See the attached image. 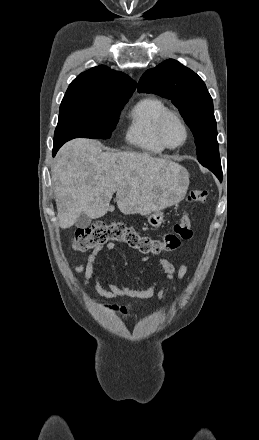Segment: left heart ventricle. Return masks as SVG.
<instances>
[{"label":"left heart ventricle","instance_id":"left-heart-ventricle-1","mask_svg":"<svg viewBox=\"0 0 259 440\" xmlns=\"http://www.w3.org/2000/svg\"><path fill=\"white\" fill-rule=\"evenodd\" d=\"M164 136L167 143L172 146L183 141L184 130L176 118L171 117L167 120L164 127Z\"/></svg>","mask_w":259,"mask_h":440}]
</instances>
